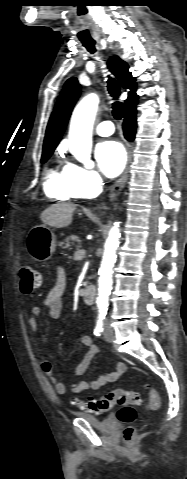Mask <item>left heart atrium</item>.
I'll return each mask as SVG.
<instances>
[{
    "mask_svg": "<svg viewBox=\"0 0 187 479\" xmlns=\"http://www.w3.org/2000/svg\"><path fill=\"white\" fill-rule=\"evenodd\" d=\"M95 156L101 170L108 177L119 175L126 163L125 150L117 141H104L98 144Z\"/></svg>",
    "mask_w": 187,
    "mask_h": 479,
    "instance_id": "39dd6f15",
    "label": "left heart atrium"
}]
</instances>
